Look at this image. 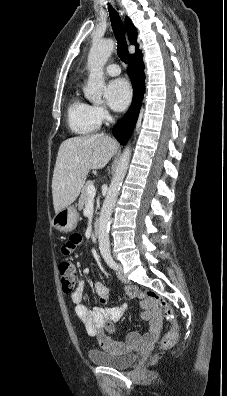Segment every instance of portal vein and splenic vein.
Wrapping results in <instances>:
<instances>
[{
    "instance_id": "obj_1",
    "label": "portal vein and splenic vein",
    "mask_w": 227,
    "mask_h": 396,
    "mask_svg": "<svg viewBox=\"0 0 227 396\" xmlns=\"http://www.w3.org/2000/svg\"><path fill=\"white\" fill-rule=\"evenodd\" d=\"M87 193H88V195H89L90 197H94L95 194H96V189H95V187H94L93 185H90V186L87 188Z\"/></svg>"
}]
</instances>
